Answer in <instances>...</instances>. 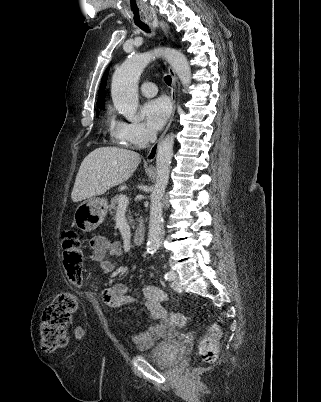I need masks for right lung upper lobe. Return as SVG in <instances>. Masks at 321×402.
Segmentation results:
<instances>
[{
    "label": "right lung upper lobe",
    "mask_w": 321,
    "mask_h": 402,
    "mask_svg": "<svg viewBox=\"0 0 321 402\" xmlns=\"http://www.w3.org/2000/svg\"><path fill=\"white\" fill-rule=\"evenodd\" d=\"M108 72L109 68L106 69L99 88L98 92V100H97V106L102 107L105 105V87H106V82H107V77H108Z\"/></svg>",
    "instance_id": "right-lung-upper-lobe-1"
}]
</instances>
